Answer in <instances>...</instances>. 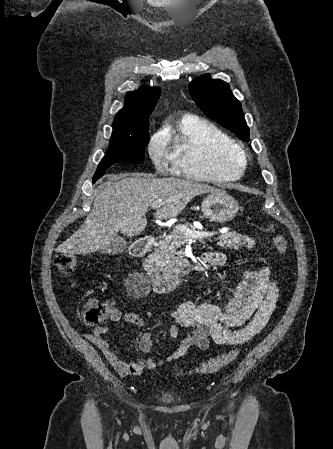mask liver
<instances>
[{
    "instance_id": "6515ba94",
    "label": "liver",
    "mask_w": 333,
    "mask_h": 449,
    "mask_svg": "<svg viewBox=\"0 0 333 449\" xmlns=\"http://www.w3.org/2000/svg\"><path fill=\"white\" fill-rule=\"evenodd\" d=\"M108 180L94 190L93 207L77 232L60 244L57 252L88 254L101 251L115 240L118 232L140 234L147 225L146 212L162 200L155 213L158 219L180 214L196 196L219 190L206 184L181 179H156L140 173L106 175Z\"/></svg>"
}]
</instances>
